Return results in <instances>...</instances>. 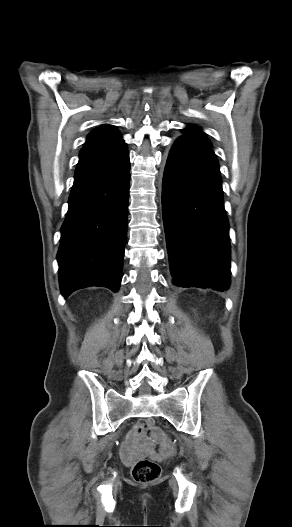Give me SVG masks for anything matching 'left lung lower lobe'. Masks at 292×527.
<instances>
[{
    "label": "left lung lower lobe",
    "mask_w": 292,
    "mask_h": 527,
    "mask_svg": "<svg viewBox=\"0 0 292 527\" xmlns=\"http://www.w3.org/2000/svg\"><path fill=\"white\" fill-rule=\"evenodd\" d=\"M162 210L173 284L226 290L229 224L213 150L177 140L165 167Z\"/></svg>",
    "instance_id": "0a47b994"
}]
</instances>
